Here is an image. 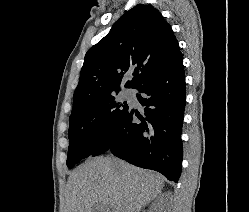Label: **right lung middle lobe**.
<instances>
[{"mask_svg":"<svg viewBox=\"0 0 249 212\" xmlns=\"http://www.w3.org/2000/svg\"><path fill=\"white\" fill-rule=\"evenodd\" d=\"M128 108L127 102H118L114 94L72 109L67 166L71 169L81 160L97 156L108 133Z\"/></svg>","mask_w":249,"mask_h":212,"instance_id":"obj_1","label":"right lung middle lobe"}]
</instances>
